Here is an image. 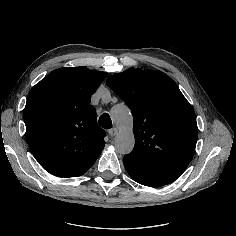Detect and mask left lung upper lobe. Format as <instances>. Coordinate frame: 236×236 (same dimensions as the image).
Instances as JSON below:
<instances>
[{"label":"left lung upper lobe","mask_w":236,"mask_h":236,"mask_svg":"<svg viewBox=\"0 0 236 236\" xmlns=\"http://www.w3.org/2000/svg\"><path fill=\"white\" fill-rule=\"evenodd\" d=\"M107 85L128 105L135 146L123 161L166 183L187 168L196 147L195 112L176 83L165 73L132 69L110 76Z\"/></svg>","instance_id":"1"}]
</instances>
